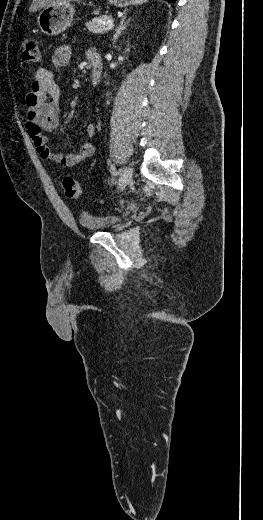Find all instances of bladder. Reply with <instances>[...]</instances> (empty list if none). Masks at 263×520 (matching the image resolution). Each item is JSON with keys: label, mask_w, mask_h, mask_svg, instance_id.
Instances as JSON below:
<instances>
[{"label": "bladder", "mask_w": 263, "mask_h": 520, "mask_svg": "<svg viewBox=\"0 0 263 520\" xmlns=\"http://www.w3.org/2000/svg\"><path fill=\"white\" fill-rule=\"evenodd\" d=\"M124 220L120 215H92L83 213L79 216V224L88 231H105L119 227Z\"/></svg>", "instance_id": "bladder-1"}]
</instances>
